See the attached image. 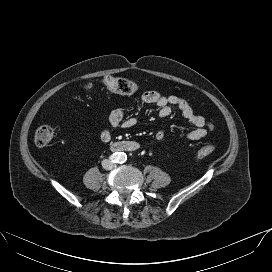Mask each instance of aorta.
I'll return each mask as SVG.
<instances>
[{"mask_svg":"<svg viewBox=\"0 0 272 272\" xmlns=\"http://www.w3.org/2000/svg\"><path fill=\"white\" fill-rule=\"evenodd\" d=\"M114 159L117 163H124L126 160H127V155L126 153L124 152H117L115 155H114Z\"/></svg>","mask_w":272,"mask_h":272,"instance_id":"762f6f07","label":"aorta"}]
</instances>
